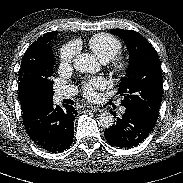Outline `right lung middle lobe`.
<instances>
[{
	"mask_svg": "<svg viewBox=\"0 0 183 183\" xmlns=\"http://www.w3.org/2000/svg\"><path fill=\"white\" fill-rule=\"evenodd\" d=\"M54 65L52 52L43 57L40 63V72L19 88L21 106L30 103L52 99L53 81L50 79Z\"/></svg>",
	"mask_w": 183,
	"mask_h": 183,
	"instance_id": "dd1d6c3e",
	"label": "right lung middle lobe"
}]
</instances>
